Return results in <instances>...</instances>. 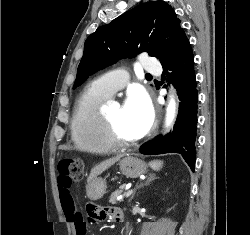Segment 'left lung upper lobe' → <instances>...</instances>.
<instances>
[{
    "mask_svg": "<svg viewBox=\"0 0 250 235\" xmlns=\"http://www.w3.org/2000/svg\"><path fill=\"white\" fill-rule=\"evenodd\" d=\"M181 29L180 20L166 2L136 6L99 27L86 39L73 88L80 86L92 73L141 52L163 61Z\"/></svg>",
    "mask_w": 250,
    "mask_h": 235,
    "instance_id": "1",
    "label": "left lung upper lobe"
}]
</instances>
